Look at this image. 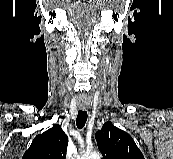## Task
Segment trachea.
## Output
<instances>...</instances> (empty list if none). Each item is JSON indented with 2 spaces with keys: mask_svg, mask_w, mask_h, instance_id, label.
Wrapping results in <instances>:
<instances>
[{
  "mask_svg": "<svg viewBox=\"0 0 173 159\" xmlns=\"http://www.w3.org/2000/svg\"><path fill=\"white\" fill-rule=\"evenodd\" d=\"M87 121V112L86 111H78V115L76 118V125L79 129H82Z\"/></svg>",
  "mask_w": 173,
  "mask_h": 159,
  "instance_id": "trachea-1",
  "label": "trachea"
}]
</instances>
